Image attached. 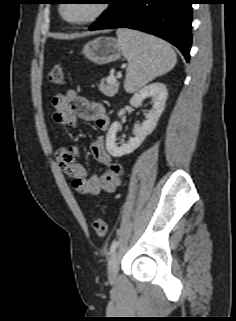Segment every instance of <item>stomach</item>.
<instances>
[{"instance_id": "obj_1", "label": "stomach", "mask_w": 236, "mask_h": 321, "mask_svg": "<svg viewBox=\"0 0 236 321\" xmlns=\"http://www.w3.org/2000/svg\"><path fill=\"white\" fill-rule=\"evenodd\" d=\"M82 53L93 63L104 65L120 59L122 50L116 39L98 37L86 43Z\"/></svg>"}]
</instances>
